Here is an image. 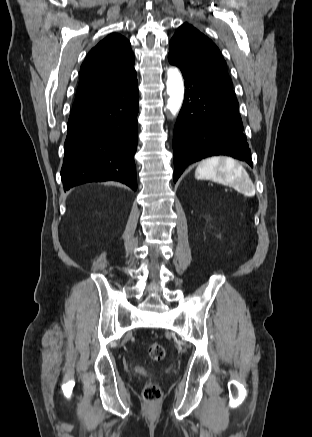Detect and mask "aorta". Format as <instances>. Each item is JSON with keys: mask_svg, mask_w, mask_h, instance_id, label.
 <instances>
[{"mask_svg": "<svg viewBox=\"0 0 312 437\" xmlns=\"http://www.w3.org/2000/svg\"><path fill=\"white\" fill-rule=\"evenodd\" d=\"M166 85L169 95L167 108L173 115H176L181 108L184 97L182 76L177 68L168 69Z\"/></svg>", "mask_w": 312, "mask_h": 437, "instance_id": "762f6f07", "label": "aorta"}]
</instances>
